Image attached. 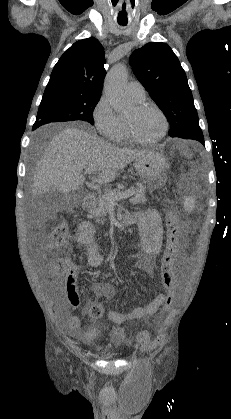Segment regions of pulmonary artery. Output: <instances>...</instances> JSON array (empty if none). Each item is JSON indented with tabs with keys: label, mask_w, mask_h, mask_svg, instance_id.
Instances as JSON below:
<instances>
[{
	"label": "pulmonary artery",
	"mask_w": 231,
	"mask_h": 419,
	"mask_svg": "<svg viewBox=\"0 0 231 419\" xmlns=\"http://www.w3.org/2000/svg\"><path fill=\"white\" fill-rule=\"evenodd\" d=\"M128 92L132 98L137 100H143L146 95L145 88L139 81H131L128 84Z\"/></svg>",
	"instance_id": "1"
}]
</instances>
